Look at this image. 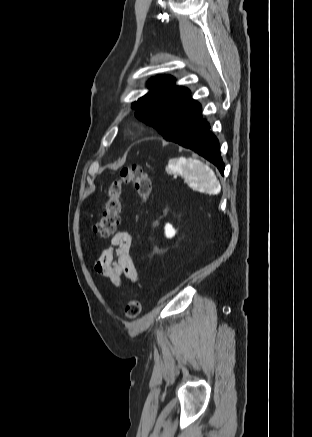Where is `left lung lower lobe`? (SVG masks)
<instances>
[{"instance_id": "left-lung-lower-lobe-1", "label": "left lung lower lobe", "mask_w": 312, "mask_h": 437, "mask_svg": "<svg viewBox=\"0 0 312 437\" xmlns=\"http://www.w3.org/2000/svg\"><path fill=\"white\" fill-rule=\"evenodd\" d=\"M173 142L201 155L217 166L222 175L224 174L225 165L221 159L218 140L210 132V126L206 119L202 118V114Z\"/></svg>"}]
</instances>
